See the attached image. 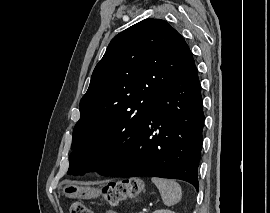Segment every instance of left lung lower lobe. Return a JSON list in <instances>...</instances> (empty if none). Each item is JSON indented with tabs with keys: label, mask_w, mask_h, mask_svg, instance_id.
Returning a JSON list of instances; mask_svg holds the SVG:
<instances>
[{
	"label": "left lung lower lobe",
	"mask_w": 270,
	"mask_h": 213,
	"mask_svg": "<svg viewBox=\"0 0 270 213\" xmlns=\"http://www.w3.org/2000/svg\"><path fill=\"white\" fill-rule=\"evenodd\" d=\"M203 124L200 83L193 64L171 82L129 139L107 146L90 171L112 177L181 179L198 190Z\"/></svg>",
	"instance_id": "left-lung-lower-lobe-1"
}]
</instances>
